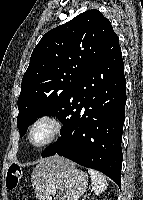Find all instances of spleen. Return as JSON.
I'll use <instances>...</instances> for the list:
<instances>
[{"mask_svg":"<svg viewBox=\"0 0 143 200\" xmlns=\"http://www.w3.org/2000/svg\"><path fill=\"white\" fill-rule=\"evenodd\" d=\"M91 176V186L96 195L101 194L107 189V181L104 175L94 169H88Z\"/></svg>","mask_w":143,"mask_h":200,"instance_id":"3e777b00","label":"spleen"}]
</instances>
